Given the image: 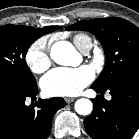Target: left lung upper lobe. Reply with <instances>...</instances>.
I'll list each match as a JSON object with an SVG mask.
<instances>
[{"mask_svg":"<svg viewBox=\"0 0 139 139\" xmlns=\"http://www.w3.org/2000/svg\"><path fill=\"white\" fill-rule=\"evenodd\" d=\"M67 30H84L94 34L106 54V64L93 83L107 89L124 74L139 69V28L118 18H98L77 22Z\"/></svg>","mask_w":139,"mask_h":139,"instance_id":"1","label":"left lung upper lobe"}]
</instances>
